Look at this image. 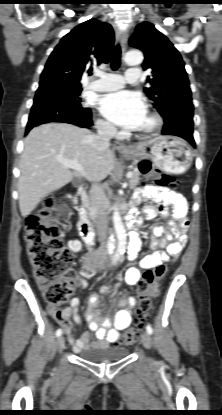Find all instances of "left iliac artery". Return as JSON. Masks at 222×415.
I'll use <instances>...</instances> for the list:
<instances>
[{
	"label": "left iliac artery",
	"instance_id": "1",
	"mask_svg": "<svg viewBox=\"0 0 222 415\" xmlns=\"http://www.w3.org/2000/svg\"><path fill=\"white\" fill-rule=\"evenodd\" d=\"M146 330L149 334H152V332H153V329H152L151 325H149V324L146 326Z\"/></svg>",
	"mask_w": 222,
	"mask_h": 415
}]
</instances>
